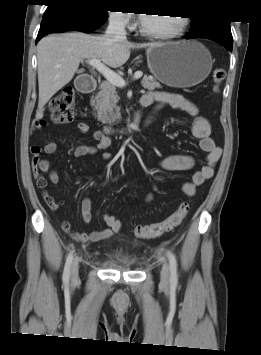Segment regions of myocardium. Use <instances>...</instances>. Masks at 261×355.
<instances>
[{
    "label": "myocardium",
    "instance_id": "myocardium-1",
    "mask_svg": "<svg viewBox=\"0 0 261 355\" xmlns=\"http://www.w3.org/2000/svg\"><path fill=\"white\" fill-rule=\"evenodd\" d=\"M179 18V27L170 33H158V32H153V31H149L147 29L144 28L142 22L140 23L139 26V31L142 35L152 38V39H156V40H171V39H175L177 37H179L180 35H182L185 31V29L187 28L188 25V19L186 16H178Z\"/></svg>",
    "mask_w": 261,
    "mask_h": 355
}]
</instances>
